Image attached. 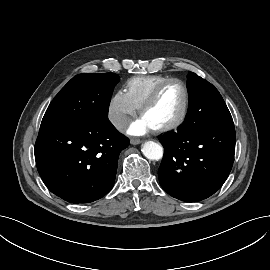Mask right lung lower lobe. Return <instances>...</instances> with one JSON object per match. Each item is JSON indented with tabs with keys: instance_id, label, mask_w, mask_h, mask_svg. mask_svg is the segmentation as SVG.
<instances>
[{
	"instance_id": "right-lung-lower-lobe-1",
	"label": "right lung lower lobe",
	"mask_w": 270,
	"mask_h": 270,
	"mask_svg": "<svg viewBox=\"0 0 270 270\" xmlns=\"http://www.w3.org/2000/svg\"><path fill=\"white\" fill-rule=\"evenodd\" d=\"M128 145V138L108 118H100L41 125L34 154L38 172L53 194L70 203H89L111 190L119 154Z\"/></svg>"
}]
</instances>
